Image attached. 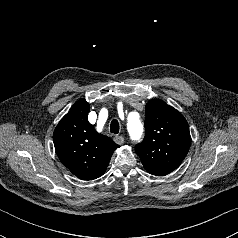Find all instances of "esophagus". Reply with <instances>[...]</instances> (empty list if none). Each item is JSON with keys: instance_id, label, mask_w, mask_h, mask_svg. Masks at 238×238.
<instances>
[{"instance_id": "34e87169", "label": "esophagus", "mask_w": 238, "mask_h": 238, "mask_svg": "<svg viewBox=\"0 0 238 238\" xmlns=\"http://www.w3.org/2000/svg\"><path fill=\"white\" fill-rule=\"evenodd\" d=\"M114 141L119 144V145H122L124 143V137L121 136V135H116L114 137Z\"/></svg>"}]
</instances>
